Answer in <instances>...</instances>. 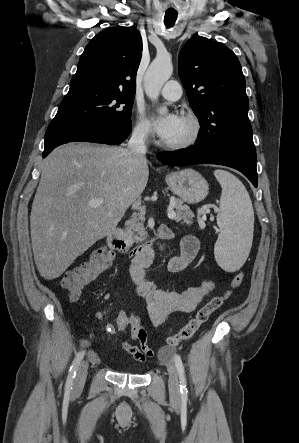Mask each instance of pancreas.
Segmentation results:
<instances>
[{
    "label": "pancreas",
    "instance_id": "cf45deb5",
    "mask_svg": "<svg viewBox=\"0 0 299 443\" xmlns=\"http://www.w3.org/2000/svg\"><path fill=\"white\" fill-rule=\"evenodd\" d=\"M171 202L173 208L176 210V216L174 220L182 221L187 225L192 224V218L194 217L193 212L190 208L184 204L181 199L172 197ZM145 216L142 212L135 213L131 218L125 223L124 238L129 243H139L143 242L147 237V232L144 229Z\"/></svg>",
    "mask_w": 299,
    "mask_h": 443
}]
</instances>
